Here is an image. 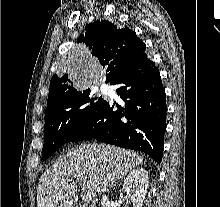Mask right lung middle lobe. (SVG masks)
I'll return each mask as SVG.
<instances>
[{"instance_id": "dd1d6c3e", "label": "right lung middle lobe", "mask_w": 220, "mask_h": 207, "mask_svg": "<svg viewBox=\"0 0 220 207\" xmlns=\"http://www.w3.org/2000/svg\"><path fill=\"white\" fill-rule=\"evenodd\" d=\"M90 89L77 90L58 100L45 113L42 159L49 158L104 104Z\"/></svg>"}]
</instances>
